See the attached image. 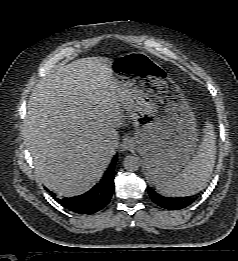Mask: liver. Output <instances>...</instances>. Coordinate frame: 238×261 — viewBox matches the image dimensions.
Segmentation results:
<instances>
[{"label":"liver","instance_id":"obj_1","mask_svg":"<svg viewBox=\"0 0 238 261\" xmlns=\"http://www.w3.org/2000/svg\"><path fill=\"white\" fill-rule=\"evenodd\" d=\"M106 57L59 66L29 98L22 135L36 177L61 196L85 193L102 177L115 151L125 116Z\"/></svg>","mask_w":238,"mask_h":261}]
</instances>
